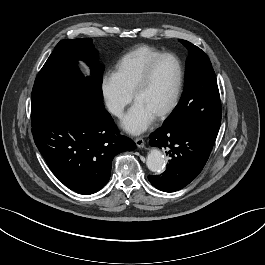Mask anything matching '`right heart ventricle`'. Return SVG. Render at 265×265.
I'll return each instance as SVG.
<instances>
[{
    "instance_id": "e07e8e85",
    "label": "right heart ventricle",
    "mask_w": 265,
    "mask_h": 265,
    "mask_svg": "<svg viewBox=\"0 0 265 265\" xmlns=\"http://www.w3.org/2000/svg\"><path fill=\"white\" fill-rule=\"evenodd\" d=\"M162 52L148 45L126 52L114 66L112 75L121 88L131 96L133 88L147 64Z\"/></svg>"
}]
</instances>
